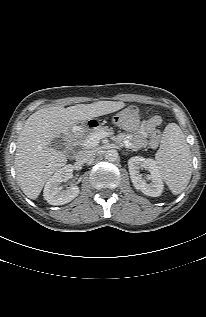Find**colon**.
Segmentation results:
<instances>
[{
    "instance_id": "5ec220e1",
    "label": "colon",
    "mask_w": 206,
    "mask_h": 317,
    "mask_svg": "<svg viewBox=\"0 0 206 317\" xmlns=\"http://www.w3.org/2000/svg\"><path fill=\"white\" fill-rule=\"evenodd\" d=\"M113 123L122 129H134L140 122V110L135 106L127 107L113 116Z\"/></svg>"
}]
</instances>
